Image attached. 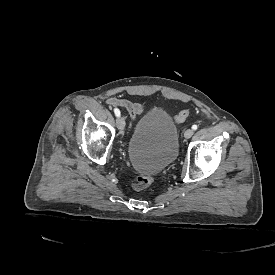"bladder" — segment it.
Instances as JSON below:
<instances>
[{
    "instance_id": "bladder-1",
    "label": "bladder",
    "mask_w": 275,
    "mask_h": 275,
    "mask_svg": "<svg viewBox=\"0 0 275 275\" xmlns=\"http://www.w3.org/2000/svg\"><path fill=\"white\" fill-rule=\"evenodd\" d=\"M129 145V157L143 174L160 173L179 151L177 125L163 105H153L136 122Z\"/></svg>"
}]
</instances>
